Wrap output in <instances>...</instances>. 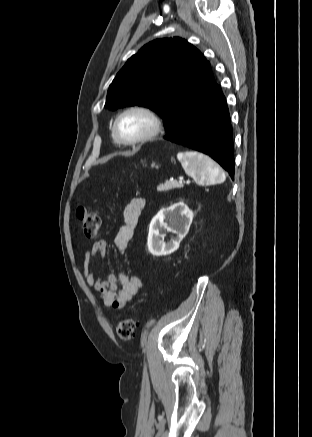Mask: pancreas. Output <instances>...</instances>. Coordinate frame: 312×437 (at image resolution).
<instances>
[{
	"instance_id": "pancreas-1",
	"label": "pancreas",
	"mask_w": 312,
	"mask_h": 437,
	"mask_svg": "<svg viewBox=\"0 0 312 437\" xmlns=\"http://www.w3.org/2000/svg\"><path fill=\"white\" fill-rule=\"evenodd\" d=\"M183 184L178 183L177 181H166L164 184L157 186V190L159 192L169 191L176 188H182Z\"/></svg>"
}]
</instances>
